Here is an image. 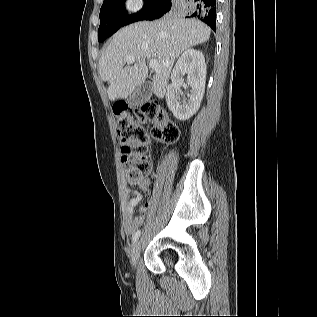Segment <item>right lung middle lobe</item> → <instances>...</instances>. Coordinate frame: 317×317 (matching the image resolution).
Masks as SVG:
<instances>
[{"mask_svg":"<svg viewBox=\"0 0 317 317\" xmlns=\"http://www.w3.org/2000/svg\"><path fill=\"white\" fill-rule=\"evenodd\" d=\"M145 5L139 12L126 15L125 0H104L100 9L99 42L115 33L121 26L144 20L162 0H144ZM185 0H173L170 10L174 11L185 4Z\"/></svg>","mask_w":317,"mask_h":317,"instance_id":"dd1d6c3e","label":"right lung middle lobe"}]
</instances>
